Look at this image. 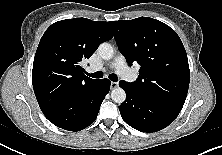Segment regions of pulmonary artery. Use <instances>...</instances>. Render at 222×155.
Returning <instances> with one entry per match:
<instances>
[{"label":"pulmonary artery","instance_id":"1","mask_svg":"<svg viewBox=\"0 0 222 155\" xmlns=\"http://www.w3.org/2000/svg\"><path fill=\"white\" fill-rule=\"evenodd\" d=\"M110 68L114 69L125 80L133 81L135 79V75L128 68L125 58L122 55L115 57L110 64Z\"/></svg>","mask_w":222,"mask_h":155}]
</instances>
